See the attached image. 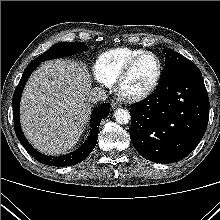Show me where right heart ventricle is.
<instances>
[{
	"instance_id": "e07e8e85",
	"label": "right heart ventricle",
	"mask_w": 220,
	"mask_h": 220,
	"mask_svg": "<svg viewBox=\"0 0 220 220\" xmlns=\"http://www.w3.org/2000/svg\"><path fill=\"white\" fill-rule=\"evenodd\" d=\"M142 51L144 50L122 47L104 52L94 67L96 77L106 85L115 84L127 63Z\"/></svg>"
}]
</instances>
